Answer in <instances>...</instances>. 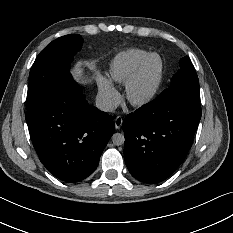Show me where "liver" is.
<instances>
[{
  "label": "liver",
  "mask_w": 233,
  "mask_h": 233,
  "mask_svg": "<svg viewBox=\"0 0 233 233\" xmlns=\"http://www.w3.org/2000/svg\"><path fill=\"white\" fill-rule=\"evenodd\" d=\"M69 74L73 81H79L82 85L88 78V69L86 63L79 64L77 60L70 68Z\"/></svg>",
  "instance_id": "obj_1"
}]
</instances>
